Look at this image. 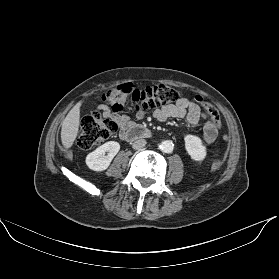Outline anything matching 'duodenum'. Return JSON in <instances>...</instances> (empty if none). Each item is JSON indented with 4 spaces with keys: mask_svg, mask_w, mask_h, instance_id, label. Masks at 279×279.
<instances>
[{
    "mask_svg": "<svg viewBox=\"0 0 279 279\" xmlns=\"http://www.w3.org/2000/svg\"><path fill=\"white\" fill-rule=\"evenodd\" d=\"M122 136L127 141H134L138 139H148L153 137V133L146 127L134 125L122 133Z\"/></svg>",
    "mask_w": 279,
    "mask_h": 279,
    "instance_id": "obj_1",
    "label": "duodenum"
}]
</instances>
